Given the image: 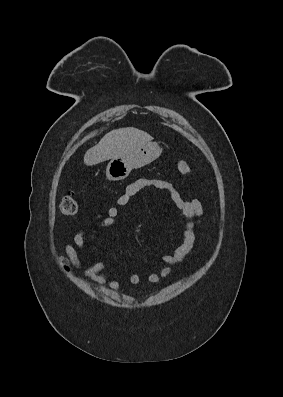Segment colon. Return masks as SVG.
I'll use <instances>...</instances> for the list:
<instances>
[{"instance_id": "obj_1", "label": "colon", "mask_w": 283, "mask_h": 397, "mask_svg": "<svg viewBox=\"0 0 283 397\" xmlns=\"http://www.w3.org/2000/svg\"><path fill=\"white\" fill-rule=\"evenodd\" d=\"M176 168L181 175H188L191 172L190 165L185 161L177 162ZM59 210L64 216H74L79 210V205L72 195H67L62 199Z\"/></svg>"}]
</instances>
